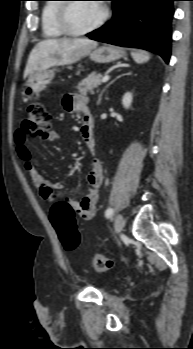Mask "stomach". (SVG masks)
Wrapping results in <instances>:
<instances>
[{
  "label": "stomach",
  "instance_id": "stomach-1",
  "mask_svg": "<svg viewBox=\"0 0 193 349\" xmlns=\"http://www.w3.org/2000/svg\"><path fill=\"white\" fill-rule=\"evenodd\" d=\"M126 55L121 48L111 45H104L94 49L90 53V59L96 63H110ZM55 77V69L49 68L43 71H36L29 75L22 86L23 95L29 100H38L40 93L46 89Z\"/></svg>",
  "mask_w": 193,
  "mask_h": 349
}]
</instances>
